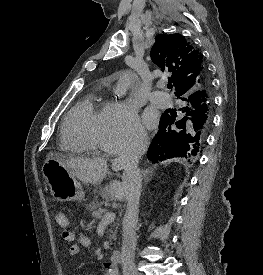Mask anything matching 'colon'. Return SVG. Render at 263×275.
I'll list each match as a JSON object with an SVG mask.
<instances>
[{
	"label": "colon",
	"instance_id": "obj_1",
	"mask_svg": "<svg viewBox=\"0 0 263 275\" xmlns=\"http://www.w3.org/2000/svg\"><path fill=\"white\" fill-rule=\"evenodd\" d=\"M55 219H56V222L57 224L61 227V228H67L69 226V219H68V216L66 215L65 212L63 211H58L56 213V216H55ZM63 235L65 237V239H69V234H68V231H64L63 232Z\"/></svg>",
	"mask_w": 263,
	"mask_h": 275
}]
</instances>
